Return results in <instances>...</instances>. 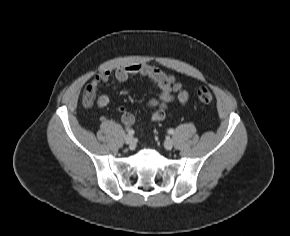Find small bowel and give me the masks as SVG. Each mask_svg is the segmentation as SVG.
I'll use <instances>...</instances> for the list:
<instances>
[{"instance_id": "1", "label": "small bowel", "mask_w": 290, "mask_h": 236, "mask_svg": "<svg viewBox=\"0 0 290 236\" xmlns=\"http://www.w3.org/2000/svg\"><path fill=\"white\" fill-rule=\"evenodd\" d=\"M114 77V88L127 81L132 76H141L149 79L157 88V94L149 100V107L153 109L151 120L159 122L167 116V107L173 102L177 101L181 105H186L188 102V94L182 89L181 85L175 78L167 72L158 67L148 64H130L112 70H104L94 77L90 86L97 92L99 85L107 83L111 77ZM110 99L107 95H100L97 98V108L102 109L108 106ZM118 113L121 121L125 125L134 123L133 115L123 109L119 108Z\"/></svg>"}]
</instances>
